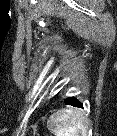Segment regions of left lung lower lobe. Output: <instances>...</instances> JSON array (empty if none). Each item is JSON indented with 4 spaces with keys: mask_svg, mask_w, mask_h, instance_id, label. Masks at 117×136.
I'll return each instance as SVG.
<instances>
[{
    "mask_svg": "<svg viewBox=\"0 0 117 136\" xmlns=\"http://www.w3.org/2000/svg\"><path fill=\"white\" fill-rule=\"evenodd\" d=\"M65 104L72 105L74 107L83 108L81 102H79L75 97H67L64 99Z\"/></svg>",
    "mask_w": 117,
    "mask_h": 136,
    "instance_id": "1",
    "label": "left lung lower lobe"
}]
</instances>
